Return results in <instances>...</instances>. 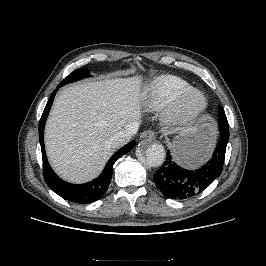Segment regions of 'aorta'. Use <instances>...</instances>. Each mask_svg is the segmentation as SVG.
I'll use <instances>...</instances> for the list:
<instances>
[{
    "instance_id": "obj_1",
    "label": "aorta",
    "mask_w": 266,
    "mask_h": 266,
    "mask_svg": "<svg viewBox=\"0 0 266 266\" xmlns=\"http://www.w3.org/2000/svg\"><path fill=\"white\" fill-rule=\"evenodd\" d=\"M140 152L145 157V162L150 167H158L163 164L165 159V148L160 143H152L147 147L141 145Z\"/></svg>"
}]
</instances>
